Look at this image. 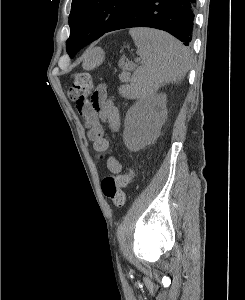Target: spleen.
Wrapping results in <instances>:
<instances>
[{
  "instance_id": "obj_1",
  "label": "spleen",
  "mask_w": 245,
  "mask_h": 300,
  "mask_svg": "<svg viewBox=\"0 0 245 300\" xmlns=\"http://www.w3.org/2000/svg\"><path fill=\"white\" fill-rule=\"evenodd\" d=\"M143 65L137 68L130 85L120 88L129 99L152 98L164 84L184 78L190 68L189 52L168 33L148 29H130Z\"/></svg>"
}]
</instances>
